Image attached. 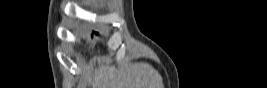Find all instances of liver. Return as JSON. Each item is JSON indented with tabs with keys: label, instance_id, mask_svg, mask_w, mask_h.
I'll return each mask as SVG.
<instances>
[{
	"label": "liver",
	"instance_id": "liver-1",
	"mask_svg": "<svg viewBox=\"0 0 267 88\" xmlns=\"http://www.w3.org/2000/svg\"><path fill=\"white\" fill-rule=\"evenodd\" d=\"M78 64L86 70V80L93 88H163L162 77L151 65L136 63L132 66H100L93 72L84 60Z\"/></svg>",
	"mask_w": 267,
	"mask_h": 88
}]
</instances>
